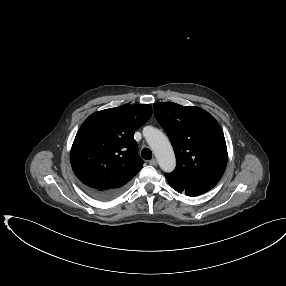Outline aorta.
<instances>
[{"label": "aorta", "mask_w": 286, "mask_h": 286, "mask_svg": "<svg viewBox=\"0 0 286 286\" xmlns=\"http://www.w3.org/2000/svg\"><path fill=\"white\" fill-rule=\"evenodd\" d=\"M148 145L154 152L160 168L164 172H172L176 167L175 154L167 136L160 130L149 127L144 131Z\"/></svg>", "instance_id": "1"}]
</instances>
